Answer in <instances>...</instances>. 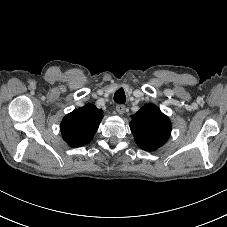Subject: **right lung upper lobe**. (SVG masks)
I'll return each mask as SVG.
<instances>
[{
	"instance_id": "right-lung-upper-lobe-1",
	"label": "right lung upper lobe",
	"mask_w": 227,
	"mask_h": 227,
	"mask_svg": "<svg viewBox=\"0 0 227 227\" xmlns=\"http://www.w3.org/2000/svg\"><path fill=\"white\" fill-rule=\"evenodd\" d=\"M103 111L92 104L74 110L61 122L63 139L71 147H80L90 142L103 118Z\"/></svg>"
}]
</instances>
